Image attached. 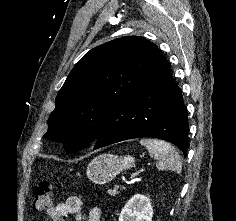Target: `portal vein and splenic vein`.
<instances>
[{"label":"portal vein and splenic vein","instance_id":"portal-vein-and-splenic-vein-1","mask_svg":"<svg viewBox=\"0 0 236 221\" xmlns=\"http://www.w3.org/2000/svg\"><path fill=\"white\" fill-rule=\"evenodd\" d=\"M136 176H137V174L134 173V174L131 176V178H130V182H133V180L136 178Z\"/></svg>","mask_w":236,"mask_h":221}]
</instances>
